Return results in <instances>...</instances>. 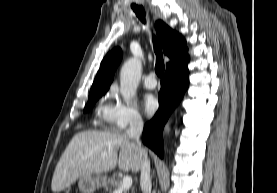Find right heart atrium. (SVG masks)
Here are the masks:
<instances>
[{
    "label": "right heart atrium",
    "mask_w": 277,
    "mask_h": 193,
    "mask_svg": "<svg viewBox=\"0 0 277 193\" xmlns=\"http://www.w3.org/2000/svg\"><path fill=\"white\" fill-rule=\"evenodd\" d=\"M142 122L143 118L139 110L133 104L124 100L115 103L109 118L112 127L119 131L139 126Z\"/></svg>",
    "instance_id": "1"
}]
</instances>
